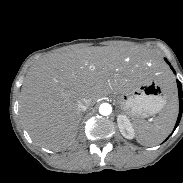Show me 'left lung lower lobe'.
Returning a JSON list of instances; mask_svg holds the SVG:
<instances>
[{
    "mask_svg": "<svg viewBox=\"0 0 183 183\" xmlns=\"http://www.w3.org/2000/svg\"><path fill=\"white\" fill-rule=\"evenodd\" d=\"M166 60V59H165ZM167 61V60H166ZM171 69L174 71V69L171 67ZM177 85H178V94H179V103H180V108H179V114H178V119L176 121V124H175V127H174V130L176 129V127L178 126L179 122H180V119H181V116H182V113H183V100H182V86H181V83L177 80ZM173 130V131H174Z\"/></svg>",
    "mask_w": 183,
    "mask_h": 183,
    "instance_id": "1",
    "label": "left lung lower lobe"
}]
</instances>
